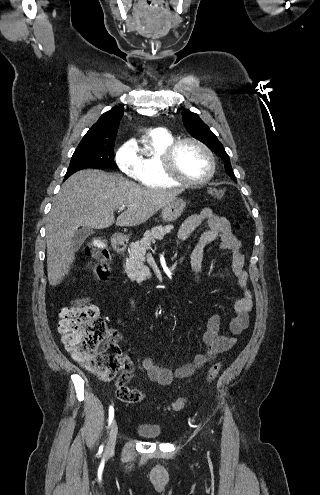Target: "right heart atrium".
I'll use <instances>...</instances> for the list:
<instances>
[{
  "instance_id": "1",
  "label": "right heart atrium",
  "mask_w": 320,
  "mask_h": 495,
  "mask_svg": "<svg viewBox=\"0 0 320 495\" xmlns=\"http://www.w3.org/2000/svg\"><path fill=\"white\" fill-rule=\"evenodd\" d=\"M119 169L129 177L140 181L141 164L136 146L131 140L125 141L115 155Z\"/></svg>"
}]
</instances>
